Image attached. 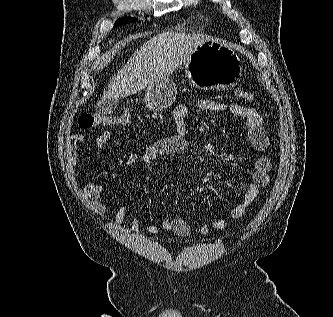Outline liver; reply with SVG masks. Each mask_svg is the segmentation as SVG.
<instances>
[{"label": "liver", "instance_id": "liver-1", "mask_svg": "<svg viewBox=\"0 0 333 317\" xmlns=\"http://www.w3.org/2000/svg\"><path fill=\"white\" fill-rule=\"evenodd\" d=\"M211 40L202 34L162 32L138 49L108 88L101 100L120 99L167 78L185 63L197 46Z\"/></svg>", "mask_w": 333, "mask_h": 317}]
</instances>
